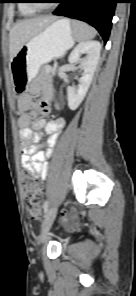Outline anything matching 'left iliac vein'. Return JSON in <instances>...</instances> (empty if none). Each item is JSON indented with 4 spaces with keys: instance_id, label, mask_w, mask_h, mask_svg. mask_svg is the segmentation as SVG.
I'll use <instances>...</instances> for the list:
<instances>
[{
    "instance_id": "1",
    "label": "left iliac vein",
    "mask_w": 136,
    "mask_h": 296,
    "mask_svg": "<svg viewBox=\"0 0 136 296\" xmlns=\"http://www.w3.org/2000/svg\"><path fill=\"white\" fill-rule=\"evenodd\" d=\"M56 214H57V206H52L47 214H46V217H45V220L42 224V232H41V235H40V239H39V243L42 244V243H45L46 240H47V235H48V232L54 222V219L56 217Z\"/></svg>"
}]
</instances>
